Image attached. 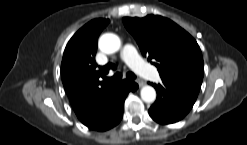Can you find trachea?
<instances>
[{"label": "trachea", "mask_w": 247, "mask_h": 145, "mask_svg": "<svg viewBox=\"0 0 247 145\" xmlns=\"http://www.w3.org/2000/svg\"><path fill=\"white\" fill-rule=\"evenodd\" d=\"M126 77H127L128 79H131V80L136 79L135 74L132 73V72H127ZM121 78H122V74H121L120 72H117V73H116L114 76H112V77H106L105 80L110 81V82H118V81L121 80Z\"/></svg>", "instance_id": "1"}]
</instances>
